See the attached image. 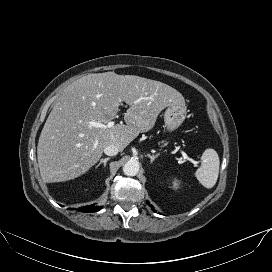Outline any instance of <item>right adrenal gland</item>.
I'll use <instances>...</instances> for the list:
<instances>
[{
  "mask_svg": "<svg viewBox=\"0 0 272 272\" xmlns=\"http://www.w3.org/2000/svg\"><path fill=\"white\" fill-rule=\"evenodd\" d=\"M110 160V157H107L105 159H101L100 162L96 165V168H98L101 164L104 165V167H106L107 161Z\"/></svg>",
  "mask_w": 272,
  "mask_h": 272,
  "instance_id": "2a0ac1e0",
  "label": "right adrenal gland"
}]
</instances>
